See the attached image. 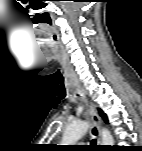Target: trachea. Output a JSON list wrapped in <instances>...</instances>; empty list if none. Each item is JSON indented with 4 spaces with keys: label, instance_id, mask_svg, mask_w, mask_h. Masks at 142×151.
<instances>
[{
    "label": "trachea",
    "instance_id": "1",
    "mask_svg": "<svg viewBox=\"0 0 142 151\" xmlns=\"http://www.w3.org/2000/svg\"><path fill=\"white\" fill-rule=\"evenodd\" d=\"M92 144L96 145V140L95 139L92 140Z\"/></svg>",
    "mask_w": 142,
    "mask_h": 151
}]
</instances>
